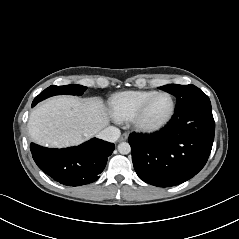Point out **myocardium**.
<instances>
[{
	"mask_svg": "<svg viewBox=\"0 0 239 239\" xmlns=\"http://www.w3.org/2000/svg\"><path fill=\"white\" fill-rule=\"evenodd\" d=\"M167 96L170 99L171 102V107H170V111L167 114V116L157 122V123H147L144 120V115L145 112L149 106V104L158 96ZM175 110H176V104H175V100L174 97L165 91H160V92H155L154 94H152L151 96H149L147 99H145L141 105L138 107V109L136 110V112L133 114V116L131 117V123L134 126L135 129H137L140 132H144V133H154V132H158L161 129H163L165 126H167L169 124V122L172 120V118L174 117L175 114Z\"/></svg>",
	"mask_w": 239,
	"mask_h": 239,
	"instance_id": "myocardium-1",
	"label": "myocardium"
}]
</instances>
